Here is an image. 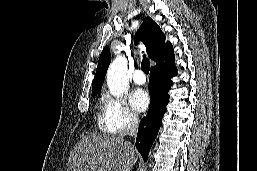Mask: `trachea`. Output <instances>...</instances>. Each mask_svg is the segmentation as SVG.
I'll use <instances>...</instances> for the list:
<instances>
[{"label":"trachea","instance_id":"trachea-1","mask_svg":"<svg viewBox=\"0 0 257 171\" xmlns=\"http://www.w3.org/2000/svg\"><path fill=\"white\" fill-rule=\"evenodd\" d=\"M141 68L145 74H149L150 62H149L148 58L146 57V55H143V59L141 62Z\"/></svg>","mask_w":257,"mask_h":171}]
</instances>
